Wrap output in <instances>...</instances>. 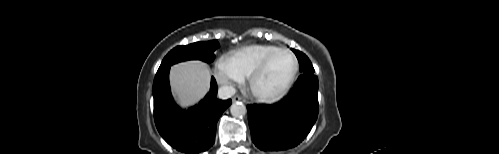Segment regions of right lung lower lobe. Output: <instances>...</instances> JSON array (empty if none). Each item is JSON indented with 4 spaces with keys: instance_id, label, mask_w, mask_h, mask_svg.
<instances>
[{
    "instance_id": "obj_1",
    "label": "right lung lower lobe",
    "mask_w": 499,
    "mask_h": 154,
    "mask_svg": "<svg viewBox=\"0 0 499 154\" xmlns=\"http://www.w3.org/2000/svg\"><path fill=\"white\" fill-rule=\"evenodd\" d=\"M169 68L157 72L153 84L154 119L164 140L178 151L195 154L209 149L215 141L216 125L231 100H219L217 84L198 106L180 109L173 101L169 85Z\"/></svg>"
}]
</instances>
